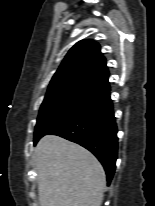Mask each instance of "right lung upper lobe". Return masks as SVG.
<instances>
[{
	"mask_svg": "<svg viewBox=\"0 0 155 206\" xmlns=\"http://www.w3.org/2000/svg\"><path fill=\"white\" fill-rule=\"evenodd\" d=\"M109 72L100 45L93 40L77 42L54 74L49 90L87 87L110 94Z\"/></svg>",
	"mask_w": 155,
	"mask_h": 206,
	"instance_id": "right-lung-upper-lobe-1",
	"label": "right lung upper lobe"
}]
</instances>
